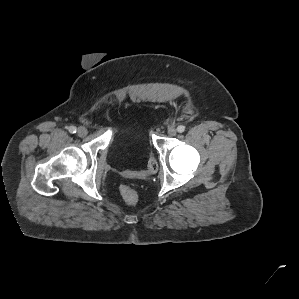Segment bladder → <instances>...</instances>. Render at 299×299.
<instances>
[{
	"label": "bladder",
	"instance_id": "31cf9c89",
	"mask_svg": "<svg viewBox=\"0 0 299 299\" xmlns=\"http://www.w3.org/2000/svg\"><path fill=\"white\" fill-rule=\"evenodd\" d=\"M110 149L134 156L145 152L147 150V144L143 133L140 131L131 133L118 131L111 141ZM126 168H132V166L126 165Z\"/></svg>",
	"mask_w": 299,
	"mask_h": 299
}]
</instances>
